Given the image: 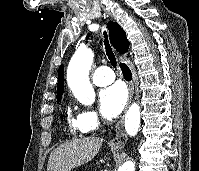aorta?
<instances>
[{"mask_svg":"<svg viewBox=\"0 0 199 171\" xmlns=\"http://www.w3.org/2000/svg\"><path fill=\"white\" fill-rule=\"evenodd\" d=\"M94 54L91 50L81 47L72 56L67 69V83L79 102L92 105L95 101V92L89 81V70ZM140 125V107L133 103L125 116V130L128 135L137 134ZM119 171H135V164L125 162Z\"/></svg>","mask_w":199,"mask_h":171,"instance_id":"aorta-1","label":"aorta"}]
</instances>
